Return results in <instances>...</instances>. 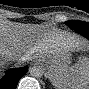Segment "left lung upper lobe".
<instances>
[{"label":"left lung upper lobe","mask_w":89,"mask_h":89,"mask_svg":"<svg viewBox=\"0 0 89 89\" xmlns=\"http://www.w3.org/2000/svg\"><path fill=\"white\" fill-rule=\"evenodd\" d=\"M65 24L74 30H77V29H88L89 30V24L86 22L73 20V21H67L65 22Z\"/></svg>","instance_id":"1"}]
</instances>
